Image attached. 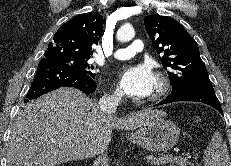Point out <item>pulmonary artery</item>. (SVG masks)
<instances>
[{"instance_id": "1", "label": "pulmonary artery", "mask_w": 231, "mask_h": 166, "mask_svg": "<svg viewBox=\"0 0 231 166\" xmlns=\"http://www.w3.org/2000/svg\"><path fill=\"white\" fill-rule=\"evenodd\" d=\"M143 49H144V44L142 40L136 39L133 40L128 47L120 48L116 50L113 56L119 60H126L133 57L138 52H141Z\"/></svg>"}]
</instances>
